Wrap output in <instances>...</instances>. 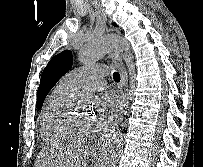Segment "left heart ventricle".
Wrapping results in <instances>:
<instances>
[{
	"mask_svg": "<svg viewBox=\"0 0 203 167\" xmlns=\"http://www.w3.org/2000/svg\"><path fill=\"white\" fill-rule=\"evenodd\" d=\"M77 116L79 118H81V120H83V122L89 126H94L93 125V116L90 112H83V113H79L77 114Z\"/></svg>",
	"mask_w": 203,
	"mask_h": 167,
	"instance_id": "1",
	"label": "left heart ventricle"
}]
</instances>
